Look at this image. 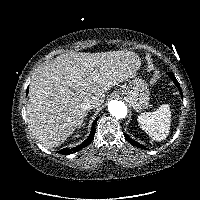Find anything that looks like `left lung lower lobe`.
Segmentation results:
<instances>
[{
  "label": "left lung lower lobe",
  "mask_w": 200,
  "mask_h": 200,
  "mask_svg": "<svg viewBox=\"0 0 200 200\" xmlns=\"http://www.w3.org/2000/svg\"><path fill=\"white\" fill-rule=\"evenodd\" d=\"M168 76L172 79V81L176 84V86L179 88L180 92H181V88L180 85L178 83V81L176 80L175 76L173 73H167ZM182 94V92H181ZM125 138L128 140L129 143H131L132 145L138 147V148H142V149H146L145 146H143L142 144L134 141L133 139H131L127 134H124Z\"/></svg>",
  "instance_id": "0a47b994"
}]
</instances>
